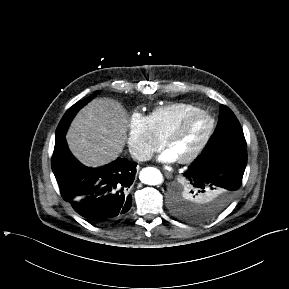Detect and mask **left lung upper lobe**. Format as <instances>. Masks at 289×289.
I'll return each mask as SVG.
<instances>
[{
    "label": "left lung upper lobe",
    "mask_w": 289,
    "mask_h": 289,
    "mask_svg": "<svg viewBox=\"0 0 289 289\" xmlns=\"http://www.w3.org/2000/svg\"><path fill=\"white\" fill-rule=\"evenodd\" d=\"M236 146L246 147L243 130L234 113L221 105L217 127L202 154ZM209 205V196L183 181L179 190L174 193L172 211L181 219L200 222L216 216L208 212Z\"/></svg>",
    "instance_id": "1"
}]
</instances>
